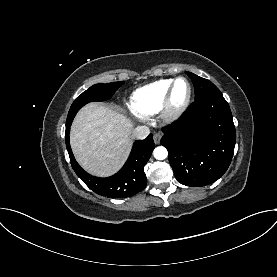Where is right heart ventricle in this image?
Here are the masks:
<instances>
[{
  "instance_id": "obj_1",
  "label": "right heart ventricle",
  "mask_w": 277,
  "mask_h": 277,
  "mask_svg": "<svg viewBox=\"0 0 277 277\" xmlns=\"http://www.w3.org/2000/svg\"><path fill=\"white\" fill-rule=\"evenodd\" d=\"M174 79H162L135 90L129 105L142 116H150L160 111L165 95Z\"/></svg>"
}]
</instances>
